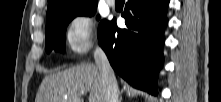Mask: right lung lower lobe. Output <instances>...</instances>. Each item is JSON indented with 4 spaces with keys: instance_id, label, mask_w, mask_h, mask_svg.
I'll use <instances>...</instances> for the list:
<instances>
[{
    "instance_id": "1",
    "label": "right lung lower lobe",
    "mask_w": 221,
    "mask_h": 102,
    "mask_svg": "<svg viewBox=\"0 0 221 102\" xmlns=\"http://www.w3.org/2000/svg\"><path fill=\"white\" fill-rule=\"evenodd\" d=\"M169 0H128L122 16L126 29L115 19L98 32L99 44L113 69L135 88L156 94L157 74L163 65L164 31Z\"/></svg>"
}]
</instances>
